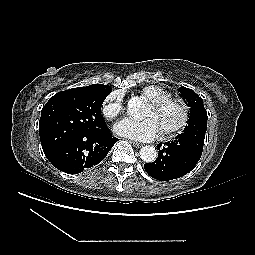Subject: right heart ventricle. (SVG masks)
I'll return each mask as SVG.
<instances>
[{"instance_id": "1", "label": "right heart ventricle", "mask_w": 255, "mask_h": 255, "mask_svg": "<svg viewBox=\"0 0 255 255\" xmlns=\"http://www.w3.org/2000/svg\"><path fill=\"white\" fill-rule=\"evenodd\" d=\"M140 95L145 100L153 102L170 96V92L160 86L148 85L141 89Z\"/></svg>"}]
</instances>
